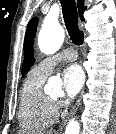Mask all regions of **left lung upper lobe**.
<instances>
[{
    "mask_svg": "<svg viewBox=\"0 0 116 134\" xmlns=\"http://www.w3.org/2000/svg\"><path fill=\"white\" fill-rule=\"evenodd\" d=\"M37 18H33L27 27L26 35H25V56H24V62H23V69H22V75L24 76L30 69V67L34 63V56H33V40L36 33V27H37Z\"/></svg>",
    "mask_w": 116,
    "mask_h": 134,
    "instance_id": "obj_1",
    "label": "left lung upper lobe"
}]
</instances>
